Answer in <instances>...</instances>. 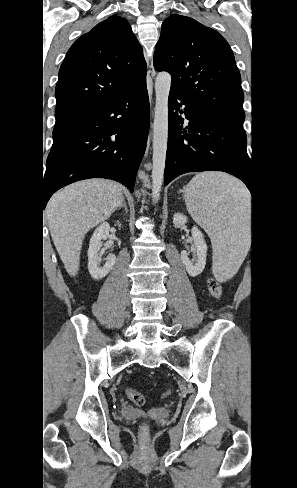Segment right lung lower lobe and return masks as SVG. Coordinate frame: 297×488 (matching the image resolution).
<instances>
[{"mask_svg": "<svg viewBox=\"0 0 297 488\" xmlns=\"http://www.w3.org/2000/svg\"><path fill=\"white\" fill-rule=\"evenodd\" d=\"M149 130L146 79L132 84L106 104L53 130L42 197L70 183L89 179L116 180L133 192Z\"/></svg>", "mask_w": 297, "mask_h": 488, "instance_id": "obj_1", "label": "right lung lower lobe"}]
</instances>
